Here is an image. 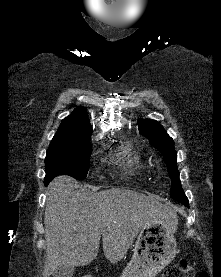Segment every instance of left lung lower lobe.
Here are the masks:
<instances>
[{
	"label": "left lung lower lobe",
	"instance_id": "0a47b994",
	"mask_svg": "<svg viewBox=\"0 0 221 277\" xmlns=\"http://www.w3.org/2000/svg\"><path fill=\"white\" fill-rule=\"evenodd\" d=\"M183 204L186 205L187 207H189V205H188V199H186L185 201H183Z\"/></svg>",
	"mask_w": 221,
	"mask_h": 277
}]
</instances>
